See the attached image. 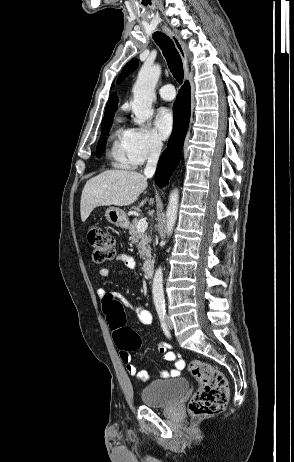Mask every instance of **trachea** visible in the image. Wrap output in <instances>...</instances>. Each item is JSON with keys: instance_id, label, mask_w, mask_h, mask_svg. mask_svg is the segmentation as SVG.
Here are the masks:
<instances>
[{"instance_id": "obj_1", "label": "trachea", "mask_w": 294, "mask_h": 462, "mask_svg": "<svg viewBox=\"0 0 294 462\" xmlns=\"http://www.w3.org/2000/svg\"><path fill=\"white\" fill-rule=\"evenodd\" d=\"M153 39L162 50L170 72L181 84L184 78L183 63L173 41L162 32H155Z\"/></svg>"}]
</instances>
